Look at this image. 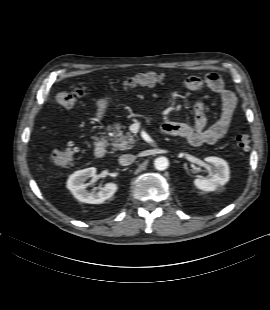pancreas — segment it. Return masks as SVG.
Segmentation results:
<instances>
[{"label":"pancreas","instance_id":"1","mask_svg":"<svg viewBox=\"0 0 270 310\" xmlns=\"http://www.w3.org/2000/svg\"><path fill=\"white\" fill-rule=\"evenodd\" d=\"M126 126L116 123L109 126L108 129L112 132L113 138L111 145L113 150H127L131 149L135 144L136 140L134 135L130 132H124Z\"/></svg>","mask_w":270,"mask_h":310}]
</instances>
